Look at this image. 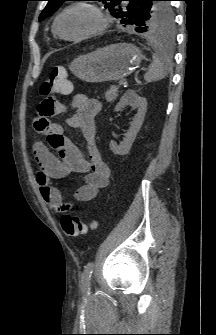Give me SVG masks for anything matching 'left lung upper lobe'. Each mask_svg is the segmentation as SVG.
Here are the masks:
<instances>
[{"instance_id": "left-lung-upper-lobe-1", "label": "left lung upper lobe", "mask_w": 216, "mask_h": 335, "mask_svg": "<svg viewBox=\"0 0 216 335\" xmlns=\"http://www.w3.org/2000/svg\"><path fill=\"white\" fill-rule=\"evenodd\" d=\"M48 4L40 14L43 20L53 14L68 0H47ZM106 3L111 14L120 19L123 26L132 25L137 32L171 35L174 16L169 0H97Z\"/></svg>"}]
</instances>
